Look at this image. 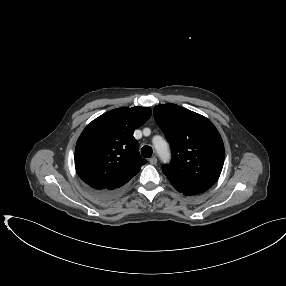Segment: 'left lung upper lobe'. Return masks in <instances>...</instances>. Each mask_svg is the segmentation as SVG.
<instances>
[{
    "mask_svg": "<svg viewBox=\"0 0 286 286\" xmlns=\"http://www.w3.org/2000/svg\"><path fill=\"white\" fill-rule=\"evenodd\" d=\"M154 118L172 150L162 166L170 183L185 195L207 191L218 180L224 163V145L206 117L176 104L154 107Z\"/></svg>",
    "mask_w": 286,
    "mask_h": 286,
    "instance_id": "left-lung-upper-lobe-1",
    "label": "left lung upper lobe"
}]
</instances>
